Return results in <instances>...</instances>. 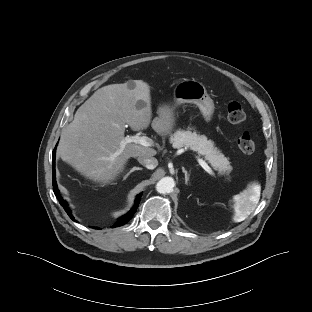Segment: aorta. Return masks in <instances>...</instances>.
Here are the masks:
<instances>
[{
  "label": "aorta",
  "instance_id": "obj_1",
  "mask_svg": "<svg viewBox=\"0 0 312 312\" xmlns=\"http://www.w3.org/2000/svg\"><path fill=\"white\" fill-rule=\"evenodd\" d=\"M175 186L174 179L172 177H163L156 184V190L158 193L166 194L173 191Z\"/></svg>",
  "mask_w": 312,
  "mask_h": 312
}]
</instances>
